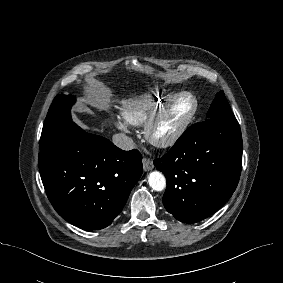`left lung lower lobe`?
I'll list each match as a JSON object with an SVG mask.
<instances>
[{
	"label": "left lung lower lobe",
	"instance_id": "obj_1",
	"mask_svg": "<svg viewBox=\"0 0 283 283\" xmlns=\"http://www.w3.org/2000/svg\"><path fill=\"white\" fill-rule=\"evenodd\" d=\"M155 167L167 180L163 204L184 223L201 221L235 191L242 166V136L235 116L190 126Z\"/></svg>",
	"mask_w": 283,
	"mask_h": 283
}]
</instances>
